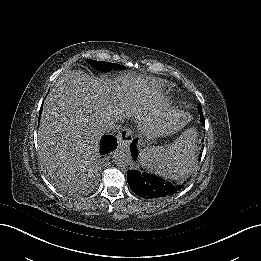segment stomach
<instances>
[{
    "label": "stomach",
    "mask_w": 261,
    "mask_h": 261,
    "mask_svg": "<svg viewBox=\"0 0 261 261\" xmlns=\"http://www.w3.org/2000/svg\"><path fill=\"white\" fill-rule=\"evenodd\" d=\"M145 114H146V122H145V123H146V126L149 127V128L153 127V126H154V123L152 122V118L155 119V117L157 116V114L150 113V111H145ZM146 133H148V132H146ZM147 148H148V147H147ZM147 148H146V149H147ZM146 149H144V151L147 152Z\"/></svg>",
    "instance_id": "obj_1"
}]
</instances>
